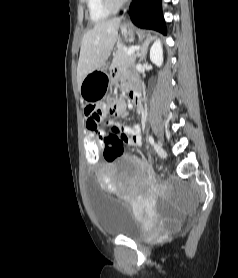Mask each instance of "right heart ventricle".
<instances>
[{
    "instance_id": "e07e8e85",
    "label": "right heart ventricle",
    "mask_w": 238,
    "mask_h": 278,
    "mask_svg": "<svg viewBox=\"0 0 238 278\" xmlns=\"http://www.w3.org/2000/svg\"><path fill=\"white\" fill-rule=\"evenodd\" d=\"M89 18L92 22H100L105 20L111 14L104 8L101 0H86Z\"/></svg>"
}]
</instances>
